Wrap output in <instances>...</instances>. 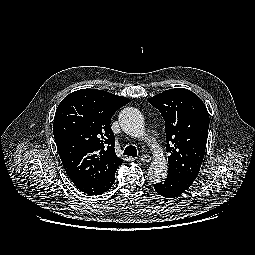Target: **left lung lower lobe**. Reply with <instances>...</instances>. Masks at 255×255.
Segmentation results:
<instances>
[{"label": "left lung lower lobe", "mask_w": 255, "mask_h": 255, "mask_svg": "<svg viewBox=\"0 0 255 255\" xmlns=\"http://www.w3.org/2000/svg\"><path fill=\"white\" fill-rule=\"evenodd\" d=\"M191 184L187 180L167 175L163 182L154 184V189L165 198H175L184 193Z\"/></svg>", "instance_id": "obj_1"}]
</instances>
